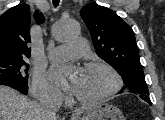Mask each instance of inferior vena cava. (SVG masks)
<instances>
[{
    "instance_id": "inferior-vena-cava-1",
    "label": "inferior vena cava",
    "mask_w": 165,
    "mask_h": 120,
    "mask_svg": "<svg viewBox=\"0 0 165 120\" xmlns=\"http://www.w3.org/2000/svg\"><path fill=\"white\" fill-rule=\"evenodd\" d=\"M41 119L56 120V112L61 106V99L58 95L44 93L40 97Z\"/></svg>"
}]
</instances>
